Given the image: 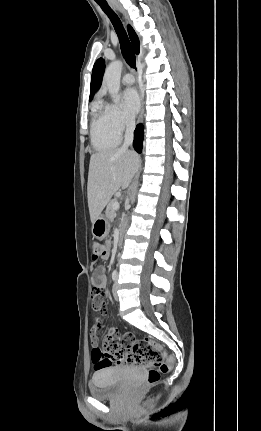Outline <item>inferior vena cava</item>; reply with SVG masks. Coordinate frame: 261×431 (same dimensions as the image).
<instances>
[{"instance_id":"1","label":"inferior vena cava","mask_w":261,"mask_h":431,"mask_svg":"<svg viewBox=\"0 0 261 431\" xmlns=\"http://www.w3.org/2000/svg\"><path fill=\"white\" fill-rule=\"evenodd\" d=\"M134 129L135 119L133 117H129L126 121L125 139L121 147L122 149H128V147L132 145L134 138Z\"/></svg>"}]
</instances>
